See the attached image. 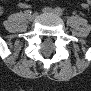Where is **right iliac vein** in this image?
Instances as JSON below:
<instances>
[{
	"label": "right iliac vein",
	"instance_id": "obj_1",
	"mask_svg": "<svg viewBox=\"0 0 91 91\" xmlns=\"http://www.w3.org/2000/svg\"><path fill=\"white\" fill-rule=\"evenodd\" d=\"M25 16H26V19L28 21H33L35 19V17H36V15L35 14H32V13H29V14H27Z\"/></svg>",
	"mask_w": 91,
	"mask_h": 91
}]
</instances>
